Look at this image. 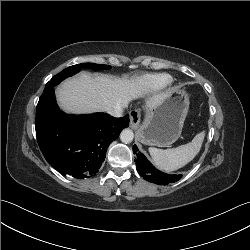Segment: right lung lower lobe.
<instances>
[{"label":"right lung lower lobe","instance_id":"98d812e1","mask_svg":"<svg viewBox=\"0 0 250 250\" xmlns=\"http://www.w3.org/2000/svg\"><path fill=\"white\" fill-rule=\"evenodd\" d=\"M128 125V115L63 113L56 104L54 87L44 90L36 109V136L45 159L61 174L77 179L97 172L109 144Z\"/></svg>","mask_w":250,"mask_h":250}]
</instances>
